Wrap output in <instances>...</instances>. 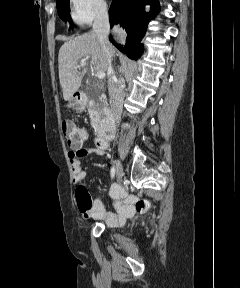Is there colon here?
Wrapping results in <instances>:
<instances>
[{
    "label": "colon",
    "instance_id": "1",
    "mask_svg": "<svg viewBox=\"0 0 240 288\" xmlns=\"http://www.w3.org/2000/svg\"><path fill=\"white\" fill-rule=\"evenodd\" d=\"M62 130L70 146L82 145L86 139L85 132L71 121H64Z\"/></svg>",
    "mask_w": 240,
    "mask_h": 288
}]
</instances>
